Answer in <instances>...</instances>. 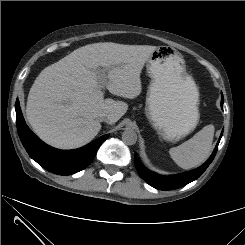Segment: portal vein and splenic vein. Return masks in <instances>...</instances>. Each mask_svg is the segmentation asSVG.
<instances>
[{"label": "portal vein and splenic vein", "instance_id": "obj_1", "mask_svg": "<svg viewBox=\"0 0 245 245\" xmlns=\"http://www.w3.org/2000/svg\"><path fill=\"white\" fill-rule=\"evenodd\" d=\"M101 87L103 88L106 84V76L104 73L101 74Z\"/></svg>", "mask_w": 245, "mask_h": 245}]
</instances>
